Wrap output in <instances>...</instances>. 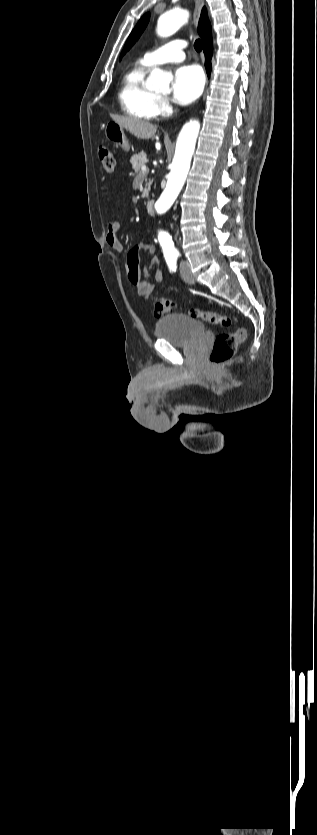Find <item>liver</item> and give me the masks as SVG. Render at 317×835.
<instances>
[{
  "mask_svg": "<svg viewBox=\"0 0 317 835\" xmlns=\"http://www.w3.org/2000/svg\"><path fill=\"white\" fill-rule=\"evenodd\" d=\"M112 118L116 123L123 126L138 139H149L154 136L157 131L156 125L137 118L119 116H113Z\"/></svg>",
  "mask_w": 317,
  "mask_h": 835,
  "instance_id": "6515ba94",
  "label": "liver"
}]
</instances>
